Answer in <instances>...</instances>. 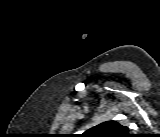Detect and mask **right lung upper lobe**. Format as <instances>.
<instances>
[{"label":"right lung upper lobe","instance_id":"1","mask_svg":"<svg viewBox=\"0 0 160 137\" xmlns=\"http://www.w3.org/2000/svg\"><path fill=\"white\" fill-rule=\"evenodd\" d=\"M128 128L116 121H106L90 128L84 134L88 137H126Z\"/></svg>","mask_w":160,"mask_h":137}]
</instances>
